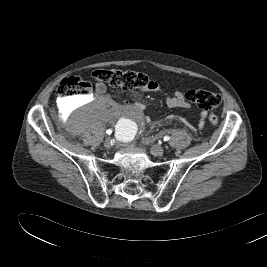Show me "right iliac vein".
I'll use <instances>...</instances> for the list:
<instances>
[{
  "label": "right iliac vein",
  "instance_id": "63e3f726",
  "mask_svg": "<svg viewBox=\"0 0 267 267\" xmlns=\"http://www.w3.org/2000/svg\"><path fill=\"white\" fill-rule=\"evenodd\" d=\"M104 146L106 148H110L111 147V139L110 138H106V140L104 141Z\"/></svg>",
  "mask_w": 267,
  "mask_h": 267
}]
</instances>
